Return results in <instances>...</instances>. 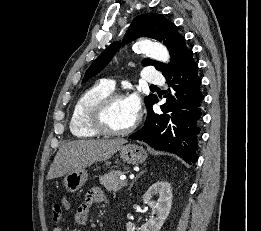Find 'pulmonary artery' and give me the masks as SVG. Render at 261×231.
I'll return each instance as SVG.
<instances>
[{
    "label": "pulmonary artery",
    "instance_id": "e3ab8cb5",
    "mask_svg": "<svg viewBox=\"0 0 261 231\" xmlns=\"http://www.w3.org/2000/svg\"><path fill=\"white\" fill-rule=\"evenodd\" d=\"M144 80L148 83L154 84V85H164L165 79L161 73L156 71L155 68L152 67H145L144 68ZM105 85L110 89L114 90L115 84L112 81H109L105 83Z\"/></svg>",
    "mask_w": 261,
    "mask_h": 231
}]
</instances>
